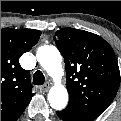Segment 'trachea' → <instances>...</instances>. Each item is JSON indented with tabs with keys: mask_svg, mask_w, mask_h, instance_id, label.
<instances>
[{
	"mask_svg": "<svg viewBox=\"0 0 121 121\" xmlns=\"http://www.w3.org/2000/svg\"><path fill=\"white\" fill-rule=\"evenodd\" d=\"M45 82V77L43 75V73L38 70L34 73L33 75V84L34 85H43Z\"/></svg>",
	"mask_w": 121,
	"mask_h": 121,
	"instance_id": "trachea-1",
	"label": "trachea"
}]
</instances>
